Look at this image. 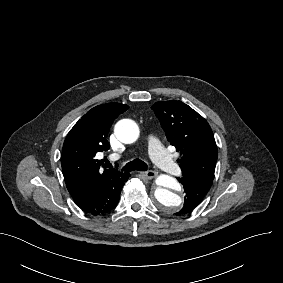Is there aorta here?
I'll return each mask as SVG.
<instances>
[{
	"mask_svg": "<svg viewBox=\"0 0 283 283\" xmlns=\"http://www.w3.org/2000/svg\"><path fill=\"white\" fill-rule=\"evenodd\" d=\"M115 135L119 141L125 144L135 142L139 137V127L131 119H122L118 121L114 128ZM157 188L154 196L162 210L166 212L177 211L181 204L182 198L177 191L180 185L175 178L169 175H159L156 180Z\"/></svg>",
	"mask_w": 283,
	"mask_h": 283,
	"instance_id": "aorta-1",
	"label": "aorta"
}]
</instances>
